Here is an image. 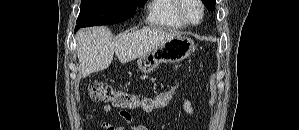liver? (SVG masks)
<instances>
[{"instance_id": "liver-1", "label": "liver", "mask_w": 299, "mask_h": 130, "mask_svg": "<svg viewBox=\"0 0 299 130\" xmlns=\"http://www.w3.org/2000/svg\"><path fill=\"white\" fill-rule=\"evenodd\" d=\"M175 36L173 31L145 27L112 40L105 26L82 29L76 35L81 74L86 77L108 68L114 53L121 63L130 62Z\"/></svg>"}]
</instances>
